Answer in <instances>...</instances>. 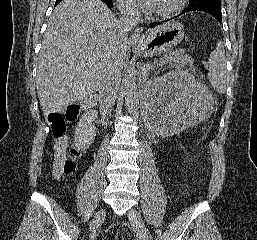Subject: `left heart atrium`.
<instances>
[{
	"instance_id": "39dd6f15",
	"label": "left heart atrium",
	"mask_w": 257,
	"mask_h": 240,
	"mask_svg": "<svg viewBox=\"0 0 257 240\" xmlns=\"http://www.w3.org/2000/svg\"><path fill=\"white\" fill-rule=\"evenodd\" d=\"M159 0H137L138 4L145 10H154Z\"/></svg>"
}]
</instances>
